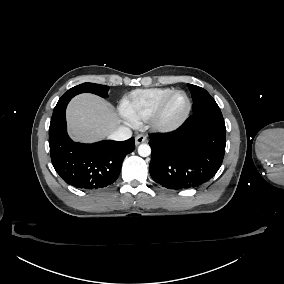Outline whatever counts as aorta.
Listing matches in <instances>:
<instances>
[{
    "label": "aorta",
    "instance_id": "obj_1",
    "mask_svg": "<svg viewBox=\"0 0 284 284\" xmlns=\"http://www.w3.org/2000/svg\"><path fill=\"white\" fill-rule=\"evenodd\" d=\"M138 154L141 157H147L151 154V148L148 144H141L138 147Z\"/></svg>",
    "mask_w": 284,
    "mask_h": 284
}]
</instances>
